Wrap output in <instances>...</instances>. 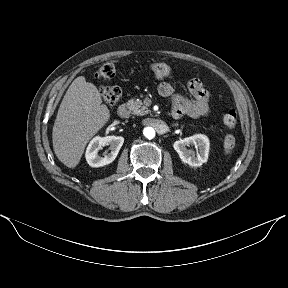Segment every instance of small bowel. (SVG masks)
Masks as SVG:
<instances>
[{
	"mask_svg": "<svg viewBox=\"0 0 288 288\" xmlns=\"http://www.w3.org/2000/svg\"><path fill=\"white\" fill-rule=\"evenodd\" d=\"M188 90L193 99L189 100L175 93L174 87L169 82H161L158 92L163 97L172 99V116L179 119L184 116L198 118L209 111V92L204 88L201 80L194 78L188 82Z\"/></svg>",
	"mask_w": 288,
	"mask_h": 288,
	"instance_id": "1",
	"label": "small bowel"
}]
</instances>
